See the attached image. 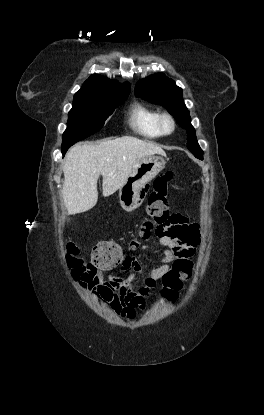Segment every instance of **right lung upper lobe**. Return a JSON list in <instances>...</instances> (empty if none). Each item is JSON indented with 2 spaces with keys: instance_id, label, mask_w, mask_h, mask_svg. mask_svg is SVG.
Returning a JSON list of instances; mask_svg holds the SVG:
<instances>
[{
  "instance_id": "1",
  "label": "right lung upper lobe",
  "mask_w": 264,
  "mask_h": 415,
  "mask_svg": "<svg viewBox=\"0 0 264 415\" xmlns=\"http://www.w3.org/2000/svg\"><path fill=\"white\" fill-rule=\"evenodd\" d=\"M130 83L119 84L108 80L104 76L93 74L90 76L74 95V98L104 97V96H128Z\"/></svg>"
}]
</instances>
